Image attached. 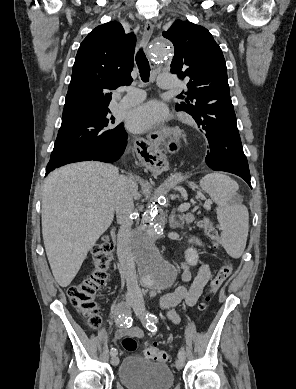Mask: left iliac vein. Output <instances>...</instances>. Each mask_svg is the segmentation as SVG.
I'll use <instances>...</instances> for the list:
<instances>
[{
	"mask_svg": "<svg viewBox=\"0 0 296 389\" xmlns=\"http://www.w3.org/2000/svg\"><path fill=\"white\" fill-rule=\"evenodd\" d=\"M133 309L136 313V315L143 320L144 319V314H145V307L143 301L139 300L133 305ZM175 366L177 369H182L184 366V358H178L176 360Z\"/></svg>",
	"mask_w": 296,
	"mask_h": 389,
	"instance_id": "left-iliac-vein-1",
	"label": "left iliac vein"
}]
</instances>
